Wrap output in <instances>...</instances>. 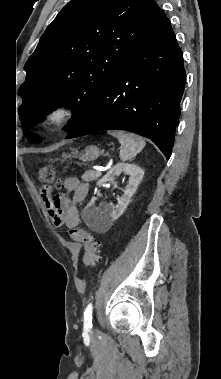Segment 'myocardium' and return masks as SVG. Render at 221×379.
<instances>
[{"mask_svg": "<svg viewBox=\"0 0 221 379\" xmlns=\"http://www.w3.org/2000/svg\"><path fill=\"white\" fill-rule=\"evenodd\" d=\"M74 116V110L65 103H58L50 106L43 115V125L48 130H55L63 127Z\"/></svg>", "mask_w": 221, "mask_h": 379, "instance_id": "obj_1", "label": "myocardium"}]
</instances>
